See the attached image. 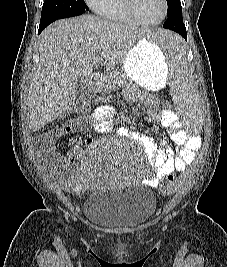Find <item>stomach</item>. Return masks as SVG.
I'll list each match as a JSON object with an SVG mask.
<instances>
[{
  "instance_id": "0dacf381",
  "label": "stomach",
  "mask_w": 227,
  "mask_h": 267,
  "mask_svg": "<svg viewBox=\"0 0 227 267\" xmlns=\"http://www.w3.org/2000/svg\"><path fill=\"white\" fill-rule=\"evenodd\" d=\"M122 69L131 80L148 90L163 88L168 78L166 55L157 43H151L147 38L136 42L128 51Z\"/></svg>"
}]
</instances>
